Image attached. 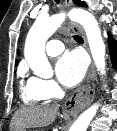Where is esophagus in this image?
Returning <instances> with one entry per match:
<instances>
[{
	"label": "esophagus",
	"instance_id": "esophagus-1",
	"mask_svg": "<svg viewBox=\"0 0 117 131\" xmlns=\"http://www.w3.org/2000/svg\"><path fill=\"white\" fill-rule=\"evenodd\" d=\"M72 0H65L66 8H70L72 6ZM71 28L74 31H78L82 34L83 39L85 41V46L89 51L87 40L84 34L83 29L76 23L71 22ZM96 79V73L93 62L90 65L86 80V85L82 86L78 90H76L70 98L65 102L64 109L66 112L71 114H78L82 111L86 106H88L94 99V91L91 87V83Z\"/></svg>",
	"mask_w": 117,
	"mask_h": 131
}]
</instances>
